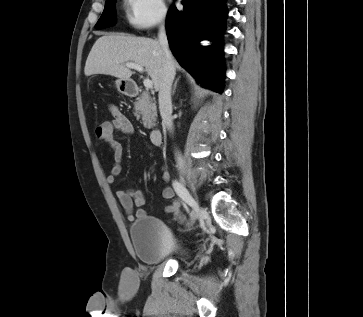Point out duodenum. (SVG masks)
<instances>
[{
	"label": "duodenum",
	"mask_w": 363,
	"mask_h": 317,
	"mask_svg": "<svg viewBox=\"0 0 363 317\" xmlns=\"http://www.w3.org/2000/svg\"><path fill=\"white\" fill-rule=\"evenodd\" d=\"M139 91L137 84L130 83L126 86V93L131 97L138 95ZM150 139L155 146H161L163 143L162 132L158 128H153L150 131Z\"/></svg>",
	"instance_id": "1"
}]
</instances>
